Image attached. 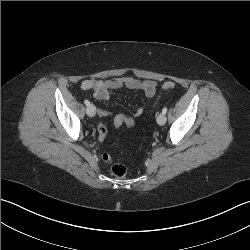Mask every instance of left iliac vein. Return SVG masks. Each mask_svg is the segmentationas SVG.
<instances>
[{
    "instance_id": "left-iliac-vein-1",
    "label": "left iliac vein",
    "mask_w": 250,
    "mask_h": 250,
    "mask_svg": "<svg viewBox=\"0 0 250 250\" xmlns=\"http://www.w3.org/2000/svg\"><path fill=\"white\" fill-rule=\"evenodd\" d=\"M166 116H165V114H163V113H160L159 115H158V117H157V123L159 124V125H164L165 123H166Z\"/></svg>"
}]
</instances>
